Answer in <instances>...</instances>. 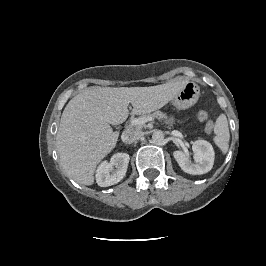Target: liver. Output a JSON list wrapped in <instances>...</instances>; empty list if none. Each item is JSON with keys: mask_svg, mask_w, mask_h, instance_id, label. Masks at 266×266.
<instances>
[{"mask_svg": "<svg viewBox=\"0 0 266 266\" xmlns=\"http://www.w3.org/2000/svg\"><path fill=\"white\" fill-rule=\"evenodd\" d=\"M186 81L150 87L92 86L66 105L56 135L60 164L67 176L83 185L94 183L97 165L116 146L119 133L110 124L123 123L128 115H142L162 108Z\"/></svg>", "mask_w": 266, "mask_h": 266, "instance_id": "obj_1", "label": "liver"}]
</instances>
